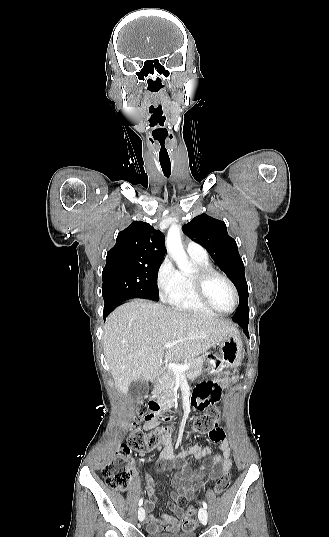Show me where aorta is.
Here are the masks:
<instances>
[{
    "instance_id": "obj_1",
    "label": "aorta",
    "mask_w": 329,
    "mask_h": 537,
    "mask_svg": "<svg viewBox=\"0 0 329 537\" xmlns=\"http://www.w3.org/2000/svg\"><path fill=\"white\" fill-rule=\"evenodd\" d=\"M166 246L169 255L175 260L178 268L182 272H189L191 264L182 246L180 229L177 225H172L169 228L166 238Z\"/></svg>"
}]
</instances>
